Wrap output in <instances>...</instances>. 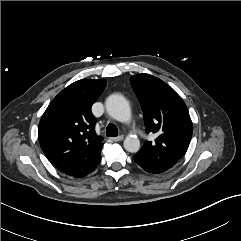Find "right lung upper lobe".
I'll return each instance as SVG.
<instances>
[{"mask_svg": "<svg viewBox=\"0 0 241 241\" xmlns=\"http://www.w3.org/2000/svg\"><path fill=\"white\" fill-rule=\"evenodd\" d=\"M105 80H78L49 104L38 127V139L47 159L61 172L75 176L101 160L102 139L95 133L93 103L105 89Z\"/></svg>", "mask_w": 241, "mask_h": 241, "instance_id": "right-lung-upper-lobe-1", "label": "right lung upper lobe"}]
</instances>
